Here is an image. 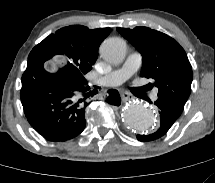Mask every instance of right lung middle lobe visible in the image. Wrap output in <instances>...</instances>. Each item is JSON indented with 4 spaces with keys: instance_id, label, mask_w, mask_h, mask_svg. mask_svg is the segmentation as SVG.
I'll list each match as a JSON object with an SVG mask.
<instances>
[{
    "instance_id": "obj_1",
    "label": "right lung middle lobe",
    "mask_w": 215,
    "mask_h": 183,
    "mask_svg": "<svg viewBox=\"0 0 215 183\" xmlns=\"http://www.w3.org/2000/svg\"><path fill=\"white\" fill-rule=\"evenodd\" d=\"M62 54L61 56L67 61L64 67H68L77 78H83L84 75L92 69V65L95 63V61L87 57L83 51H75L69 47L62 49Z\"/></svg>"
}]
</instances>
